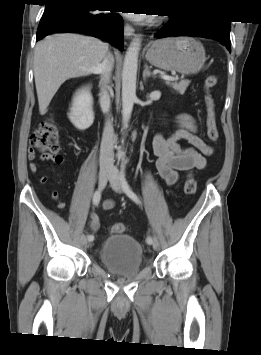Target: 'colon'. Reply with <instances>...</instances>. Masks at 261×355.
<instances>
[{
    "mask_svg": "<svg viewBox=\"0 0 261 355\" xmlns=\"http://www.w3.org/2000/svg\"><path fill=\"white\" fill-rule=\"evenodd\" d=\"M217 78L213 75L208 76L204 83L206 90L205 106H206V131L207 137L211 142H216L219 136L216 124V110L214 98L211 89L216 85ZM31 146L42 153V157L55 156L61 149V138L57 127L49 121L42 122L30 136ZM197 181L192 174H189L185 180L184 191L188 195L196 192ZM128 229L124 223H114L109 230L112 234H122Z\"/></svg>",
    "mask_w": 261,
    "mask_h": 355,
    "instance_id": "1",
    "label": "colon"
}]
</instances>
